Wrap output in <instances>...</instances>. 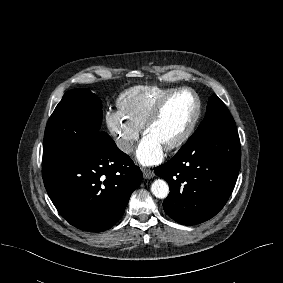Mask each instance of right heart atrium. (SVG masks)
I'll return each mask as SVG.
<instances>
[{"mask_svg": "<svg viewBox=\"0 0 283 283\" xmlns=\"http://www.w3.org/2000/svg\"><path fill=\"white\" fill-rule=\"evenodd\" d=\"M105 121L120 150L130 154L139 138L140 129L132 125L119 110H108Z\"/></svg>", "mask_w": 283, "mask_h": 283, "instance_id": "right-heart-atrium-1", "label": "right heart atrium"}]
</instances>
